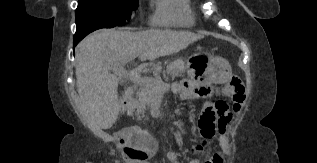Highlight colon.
Returning <instances> with one entry per match:
<instances>
[{"label":"colon","instance_id":"obj_1","mask_svg":"<svg viewBox=\"0 0 317 163\" xmlns=\"http://www.w3.org/2000/svg\"><path fill=\"white\" fill-rule=\"evenodd\" d=\"M225 95L230 97L234 104H239L243 98L245 102V90L241 81L233 76L225 87ZM227 104L223 101L207 103L203 106L199 116V128L203 133H215L219 130L220 118L225 112ZM131 142L134 148L131 150V158L137 161L149 159L156 150L154 138L147 132L139 130L131 131Z\"/></svg>","mask_w":317,"mask_h":163}]
</instances>
